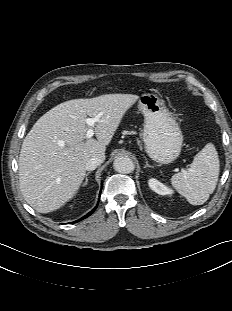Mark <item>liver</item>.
Wrapping results in <instances>:
<instances>
[{"label": "liver", "mask_w": 232, "mask_h": 311, "mask_svg": "<svg viewBox=\"0 0 232 311\" xmlns=\"http://www.w3.org/2000/svg\"><path fill=\"white\" fill-rule=\"evenodd\" d=\"M138 99L132 94L73 99L40 117L23 140L19 156V183L26 202L39 213H49L72 199L86 175V161L94 156L105 160L106 146ZM98 114L97 140L86 138L85 119Z\"/></svg>", "instance_id": "obj_1"}]
</instances>
